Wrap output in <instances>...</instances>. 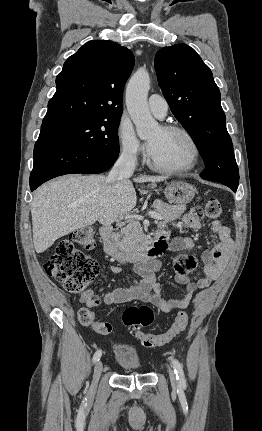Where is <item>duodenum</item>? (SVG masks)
<instances>
[{
    "mask_svg": "<svg viewBox=\"0 0 262 431\" xmlns=\"http://www.w3.org/2000/svg\"><path fill=\"white\" fill-rule=\"evenodd\" d=\"M100 236L105 253L114 256L121 264L142 262L148 256L154 254L157 250L163 249V244L161 243V241L156 240L147 252L140 255H134L121 251L119 249L118 241L116 236L114 235L113 227L111 224H104L101 226Z\"/></svg>",
    "mask_w": 262,
    "mask_h": 431,
    "instance_id": "duodenum-1",
    "label": "duodenum"
}]
</instances>
